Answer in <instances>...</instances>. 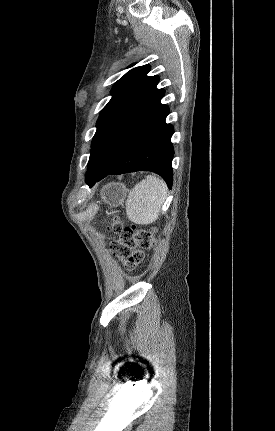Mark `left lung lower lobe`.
I'll list each match as a JSON object with an SVG mask.
<instances>
[{
	"label": "left lung lower lobe",
	"mask_w": 275,
	"mask_h": 431,
	"mask_svg": "<svg viewBox=\"0 0 275 431\" xmlns=\"http://www.w3.org/2000/svg\"><path fill=\"white\" fill-rule=\"evenodd\" d=\"M169 107L164 106L156 116L122 149L111 165L104 171L91 176L86 182L92 187L96 182L111 174L136 171H152L159 174L172 187V157L174 149L171 136L174 128L166 124Z\"/></svg>",
	"instance_id": "obj_1"
}]
</instances>
